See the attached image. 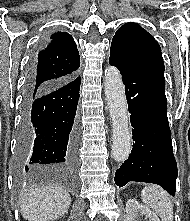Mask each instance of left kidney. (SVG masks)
Listing matches in <instances>:
<instances>
[{
	"instance_id": "left-kidney-1",
	"label": "left kidney",
	"mask_w": 190,
	"mask_h": 221,
	"mask_svg": "<svg viewBox=\"0 0 190 221\" xmlns=\"http://www.w3.org/2000/svg\"><path fill=\"white\" fill-rule=\"evenodd\" d=\"M139 215H145L149 221H160L158 216L148 207L141 205L134 199H129L126 203L127 221H136Z\"/></svg>"
}]
</instances>
